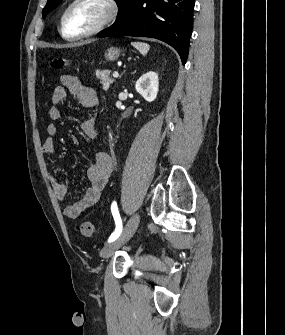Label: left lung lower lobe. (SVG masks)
Here are the masks:
<instances>
[{"mask_svg": "<svg viewBox=\"0 0 285 335\" xmlns=\"http://www.w3.org/2000/svg\"><path fill=\"white\" fill-rule=\"evenodd\" d=\"M115 23L101 37L156 38L171 45L183 65L189 51L194 0H122Z\"/></svg>", "mask_w": 285, "mask_h": 335, "instance_id": "1", "label": "left lung lower lobe"}]
</instances>
